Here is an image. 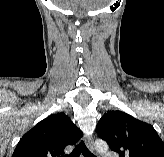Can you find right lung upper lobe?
<instances>
[{
  "mask_svg": "<svg viewBox=\"0 0 164 157\" xmlns=\"http://www.w3.org/2000/svg\"><path fill=\"white\" fill-rule=\"evenodd\" d=\"M81 137V130L65 113L52 114L20 139L12 157H66L64 148Z\"/></svg>",
  "mask_w": 164,
  "mask_h": 157,
  "instance_id": "1",
  "label": "right lung upper lobe"
}]
</instances>
